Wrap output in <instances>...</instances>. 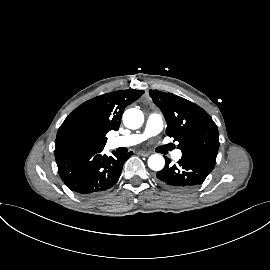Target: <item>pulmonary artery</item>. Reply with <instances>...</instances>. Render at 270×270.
I'll return each mask as SVG.
<instances>
[{
	"instance_id": "obj_1",
	"label": "pulmonary artery",
	"mask_w": 270,
	"mask_h": 270,
	"mask_svg": "<svg viewBox=\"0 0 270 270\" xmlns=\"http://www.w3.org/2000/svg\"><path fill=\"white\" fill-rule=\"evenodd\" d=\"M163 129V117L159 113H151L147 117L145 129L141 133L131 134L127 136H118L109 140L111 148L129 147L144 141L148 137L155 136ZM181 151L177 150L173 154V158L178 160L181 158Z\"/></svg>"
}]
</instances>
